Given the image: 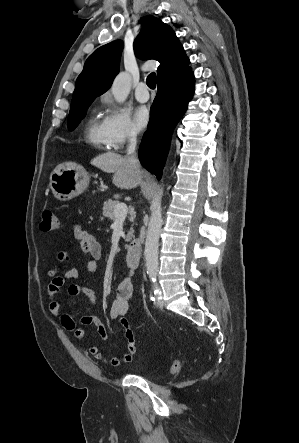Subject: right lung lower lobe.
Here are the masks:
<instances>
[{
    "label": "right lung lower lobe",
    "instance_id": "obj_1",
    "mask_svg": "<svg viewBox=\"0 0 299 443\" xmlns=\"http://www.w3.org/2000/svg\"><path fill=\"white\" fill-rule=\"evenodd\" d=\"M193 90L191 69L182 76L158 80V93L150 109L148 130L139 148L141 164L157 179L162 176L173 129L185 113Z\"/></svg>",
    "mask_w": 299,
    "mask_h": 443
}]
</instances>
